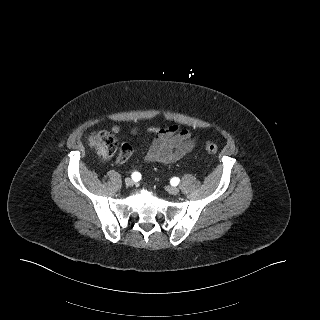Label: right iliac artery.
I'll return each instance as SVG.
<instances>
[{"mask_svg": "<svg viewBox=\"0 0 320 320\" xmlns=\"http://www.w3.org/2000/svg\"><path fill=\"white\" fill-rule=\"evenodd\" d=\"M132 179L134 181H138L140 179V174L138 172H135L132 174Z\"/></svg>", "mask_w": 320, "mask_h": 320, "instance_id": "1", "label": "right iliac artery"}]
</instances>
